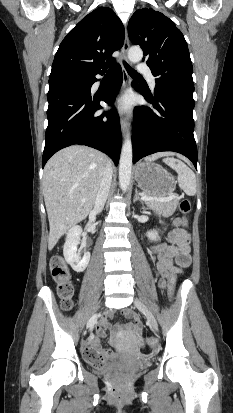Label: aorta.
<instances>
[{
  "label": "aorta",
  "instance_id": "aorta-1",
  "mask_svg": "<svg viewBox=\"0 0 233 413\" xmlns=\"http://www.w3.org/2000/svg\"><path fill=\"white\" fill-rule=\"evenodd\" d=\"M143 57V52L140 47H131L128 51V59L132 63H138ZM132 142L129 136L126 137L120 154L119 162V184L123 192H126L130 185L132 172Z\"/></svg>",
  "mask_w": 233,
  "mask_h": 413
}]
</instances>
